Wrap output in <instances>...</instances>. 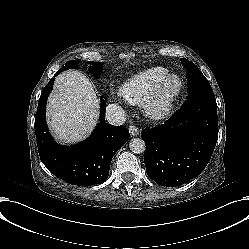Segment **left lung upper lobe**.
Wrapping results in <instances>:
<instances>
[{
  "label": "left lung upper lobe",
  "instance_id": "5c2ea615",
  "mask_svg": "<svg viewBox=\"0 0 249 249\" xmlns=\"http://www.w3.org/2000/svg\"><path fill=\"white\" fill-rule=\"evenodd\" d=\"M180 60L183 67L187 69L188 95L201 92L213 93L208 80L198 67L187 59L181 58Z\"/></svg>",
  "mask_w": 249,
  "mask_h": 249
}]
</instances>
